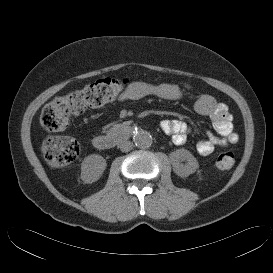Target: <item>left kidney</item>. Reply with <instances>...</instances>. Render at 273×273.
Listing matches in <instances>:
<instances>
[{
	"label": "left kidney",
	"mask_w": 273,
	"mask_h": 273,
	"mask_svg": "<svg viewBox=\"0 0 273 273\" xmlns=\"http://www.w3.org/2000/svg\"><path fill=\"white\" fill-rule=\"evenodd\" d=\"M173 171L180 177H187L199 168L197 159L186 149H177L170 154ZM186 163L183 164L182 162Z\"/></svg>",
	"instance_id": "1"
}]
</instances>
